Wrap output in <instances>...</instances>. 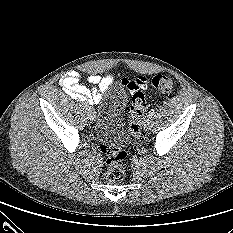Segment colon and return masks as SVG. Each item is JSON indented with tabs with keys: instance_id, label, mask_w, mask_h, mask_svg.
Instances as JSON below:
<instances>
[{
	"instance_id": "obj_1",
	"label": "colon",
	"mask_w": 233,
	"mask_h": 233,
	"mask_svg": "<svg viewBox=\"0 0 233 233\" xmlns=\"http://www.w3.org/2000/svg\"><path fill=\"white\" fill-rule=\"evenodd\" d=\"M153 87L163 94H170L174 84L171 78L165 75H156L151 81ZM141 84L135 82L131 84L132 104L129 111L130 131L136 134L142 123L145 110L147 108V98L142 90ZM101 151L106 156L107 178L110 182H120L125 177L124 162L127 158L126 151L119 145L103 144Z\"/></svg>"
}]
</instances>
